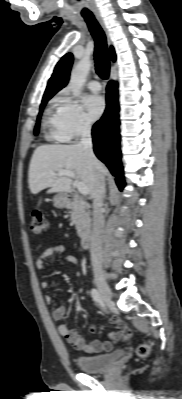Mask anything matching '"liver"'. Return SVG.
I'll list each match as a JSON object with an SVG mask.
<instances>
[{"label":"liver","mask_w":182,"mask_h":399,"mask_svg":"<svg viewBox=\"0 0 182 399\" xmlns=\"http://www.w3.org/2000/svg\"><path fill=\"white\" fill-rule=\"evenodd\" d=\"M62 170L72 171L88 187L93 197L96 171L106 175V167L98 161L93 164L87 153L78 145H41L32 155L28 183L32 194L50 188L48 193H69L72 191V178L55 176Z\"/></svg>","instance_id":"obj_1"}]
</instances>
